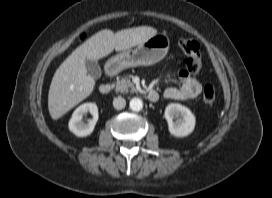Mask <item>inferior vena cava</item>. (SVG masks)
I'll list each match as a JSON object with an SVG mask.
<instances>
[{
    "mask_svg": "<svg viewBox=\"0 0 272 198\" xmlns=\"http://www.w3.org/2000/svg\"><path fill=\"white\" fill-rule=\"evenodd\" d=\"M125 105H126V101L121 96H118V97L114 98L113 106H114L115 109L121 110V109H123L125 107Z\"/></svg>",
    "mask_w": 272,
    "mask_h": 198,
    "instance_id": "602c4592",
    "label": "inferior vena cava"
}]
</instances>
